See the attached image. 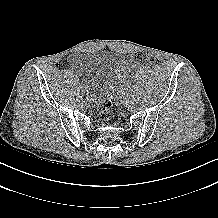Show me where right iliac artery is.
<instances>
[{"instance_id":"1","label":"right iliac artery","mask_w":218,"mask_h":218,"mask_svg":"<svg viewBox=\"0 0 218 218\" xmlns=\"http://www.w3.org/2000/svg\"><path fill=\"white\" fill-rule=\"evenodd\" d=\"M81 84L84 82L82 79L79 81ZM81 86H84V87H86L87 85L84 83L83 85H81ZM80 86V87H81Z\"/></svg>"}]
</instances>
